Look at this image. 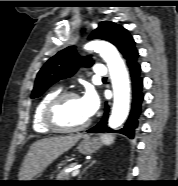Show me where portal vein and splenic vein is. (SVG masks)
Returning <instances> with one entry per match:
<instances>
[{
  "label": "portal vein and splenic vein",
  "mask_w": 178,
  "mask_h": 186,
  "mask_svg": "<svg viewBox=\"0 0 178 186\" xmlns=\"http://www.w3.org/2000/svg\"><path fill=\"white\" fill-rule=\"evenodd\" d=\"M79 173H80V170H79V169L74 170V171L72 172V177L77 176Z\"/></svg>",
  "instance_id": "obj_1"
}]
</instances>
